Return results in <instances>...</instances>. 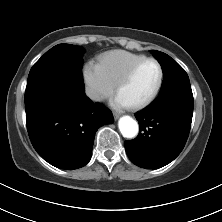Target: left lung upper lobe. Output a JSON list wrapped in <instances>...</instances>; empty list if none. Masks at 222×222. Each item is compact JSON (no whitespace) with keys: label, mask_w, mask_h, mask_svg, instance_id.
I'll return each mask as SVG.
<instances>
[{"label":"left lung upper lobe","mask_w":222,"mask_h":222,"mask_svg":"<svg viewBox=\"0 0 222 222\" xmlns=\"http://www.w3.org/2000/svg\"><path fill=\"white\" fill-rule=\"evenodd\" d=\"M163 70V83L160 94L176 89L191 90L190 81L185 70L167 54L151 50Z\"/></svg>","instance_id":"left-lung-upper-lobe-1"}]
</instances>
